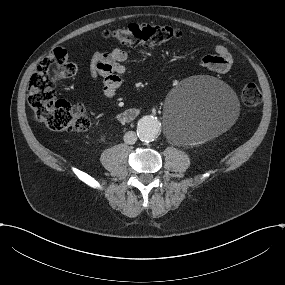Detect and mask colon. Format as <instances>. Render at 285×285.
<instances>
[{"instance_id": "colon-1", "label": "colon", "mask_w": 285, "mask_h": 285, "mask_svg": "<svg viewBox=\"0 0 285 285\" xmlns=\"http://www.w3.org/2000/svg\"><path fill=\"white\" fill-rule=\"evenodd\" d=\"M181 35L179 29L168 25L129 24L126 27L105 31L104 36L126 45H161ZM77 72L65 48H55L44 58L32 75L27 101L34 119L51 131L86 130L90 119L83 105L71 104L56 96L54 85L58 80L70 78ZM259 87L254 83L244 86L241 99L246 107H255L261 101Z\"/></svg>"}]
</instances>
